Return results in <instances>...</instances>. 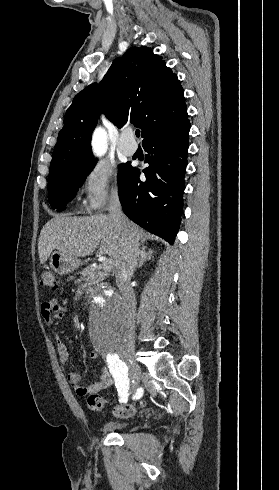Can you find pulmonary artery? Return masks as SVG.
<instances>
[{
	"label": "pulmonary artery",
	"instance_id": "obj_1",
	"mask_svg": "<svg viewBox=\"0 0 279 490\" xmlns=\"http://www.w3.org/2000/svg\"><path fill=\"white\" fill-rule=\"evenodd\" d=\"M120 137L116 138V145L122 146L121 151L126 156H133L136 153L137 146L135 145V138L132 137V128H120Z\"/></svg>",
	"mask_w": 279,
	"mask_h": 490
}]
</instances>
